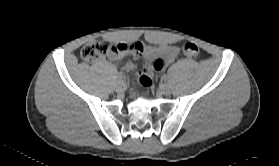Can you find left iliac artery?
Instances as JSON below:
<instances>
[{
	"label": "left iliac artery",
	"instance_id": "left-iliac-artery-1",
	"mask_svg": "<svg viewBox=\"0 0 279 166\" xmlns=\"http://www.w3.org/2000/svg\"><path fill=\"white\" fill-rule=\"evenodd\" d=\"M162 79H163L164 81H166V80H168V76H167V75H163V76H162Z\"/></svg>",
	"mask_w": 279,
	"mask_h": 166
}]
</instances>
